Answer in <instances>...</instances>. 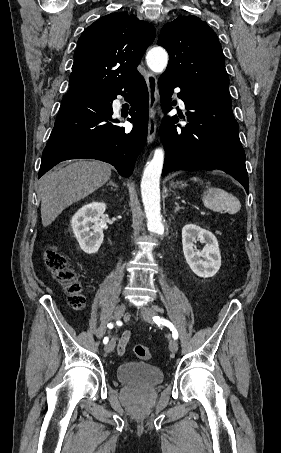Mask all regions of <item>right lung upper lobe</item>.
Returning <instances> with one entry per match:
<instances>
[{"instance_id": "1", "label": "right lung upper lobe", "mask_w": 281, "mask_h": 453, "mask_svg": "<svg viewBox=\"0 0 281 453\" xmlns=\"http://www.w3.org/2000/svg\"><path fill=\"white\" fill-rule=\"evenodd\" d=\"M154 38L152 24L127 12L101 17L78 40L67 93L122 88L139 73L137 66Z\"/></svg>"}]
</instances>
